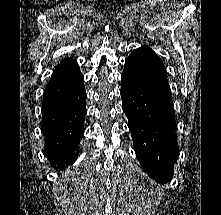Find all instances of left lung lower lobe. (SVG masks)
Wrapping results in <instances>:
<instances>
[{
	"label": "left lung lower lobe",
	"instance_id": "left-lung-lower-lobe-1",
	"mask_svg": "<svg viewBox=\"0 0 221 215\" xmlns=\"http://www.w3.org/2000/svg\"><path fill=\"white\" fill-rule=\"evenodd\" d=\"M121 80L123 111L137 158L152 178L169 182L178 147L164 64L152 49L142 46L126 59Z\"/></svg>",
	"mask_w": 221,
	"mask_h": 215
}]
</instances>
